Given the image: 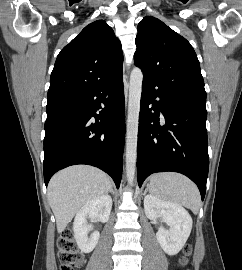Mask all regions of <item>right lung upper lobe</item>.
Wrapping results in <instances>:
<instances>
[{
  "label": "right lung upper lobe",
  "instance_id": "1",
  "mask_svg": "<svg viewBox=\"0 0 242 270\" xmlns=\"http://www.w3.org/2000/svg\"><path fill=\"white\" fill-rule=\"evenodd\" d=\"M121 43L103 20L87 25L58 54L50 77L48 103L101 85L123 71Z\"/></svg>",
  "mask_w": 242,
  "mask_h": 270
}]
</instances>
